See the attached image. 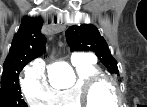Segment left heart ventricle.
I'll list each match as a JSON object with an SVG mask.
<instances>
[{
    "label": "left heart ventricle",
    "instance_id": "1",
    "mask_svg": "<svg viewBox=\"0 0 147 107\" xmlns=\"http://www.w3.org/2000/svg\"><path fill=\"white\" fill-rule=\"evenodd\" d=\"M91 100L94 107H111L117 103L116 93L108 83L97 86L92 92Z\"/></svg>",
    "mask_w": 147,
    "mask_h": 107
}]
</instances>
